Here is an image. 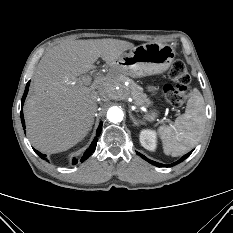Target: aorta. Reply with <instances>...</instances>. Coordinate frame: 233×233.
Here are the masks:
<instances>
[{
    "label": "aorta",
    "instance_id": "1",
    "mask_svg": "<svg viewBox=\"0 0 233 233\" xmlns=\"http://www.w3.org/2000/svg\"><path fill=\"white\" fill-rule=\"evenodd\" d=\"M107 119L113 123L121 122L123 119L122 110L118 107H111L107 112Z\"/></svg>",
    "mask_w": 233,
    "mask_h": 233
}]
</instances>
